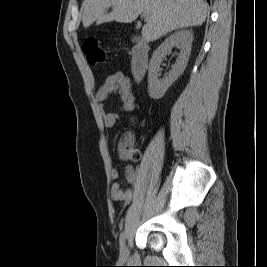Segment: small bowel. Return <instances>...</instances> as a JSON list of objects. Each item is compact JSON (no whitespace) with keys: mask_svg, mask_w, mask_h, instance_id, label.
<instances>
[{"mask_svg":"<svg viewBox=\"0 0 267 267\" xmlns=\"http://www.w3.org/2000/svg\"><path fill=\"white\" fill-rule=\"evenodd\" d=\"M112 93H117L121 101L120 111L131 112L135 109V96L132 91L130 79L121 72L109 75L103 85L96 93L98 102L103 103ZM118 119L115 112L103 111L104 126L108 129L114 128ZM111 176L114 180H118L120 173L117 169L111 170ZM136 181V175L131 167H127L125 171V180L123 183L115 182L112 185L111 196L115 201H124L129 203L133 197V191L125 188L132 185Z\"/></svg>","mask_w":267,"mask_h":267,"instance_id":"obj_1","label":"small bowel"}]
</instances>
